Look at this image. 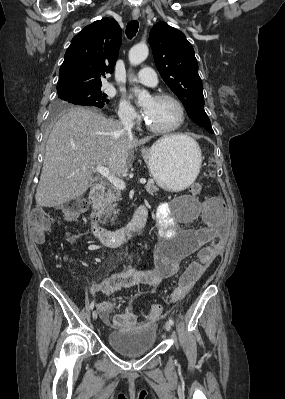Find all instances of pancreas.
<instances>
[{
  "label": "pancreas",
  "mask_w": 285,
  "mask_h": 399,
  "mask_svg": "<svg viewBox=\"0 0 285 399\" xmlns=\"http://www.w3.org/2000/svg\"><path fill=\"white\" fill-rule=\"evenodd\" d=\"M145 189L151 195L155 194L159 190L153 181H148ZM120 200L121 190L116 187L108 188L100 204L101 215H105V217L108 218L111 214H117L115 208Z\"/></svg>",
  "instance_id": "obj_1"
}]
</instances>
